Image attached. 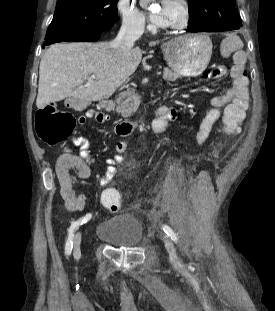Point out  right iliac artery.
I'll list each match as a JSON object with an SVG mask.
<instances>
[{
	"label": "right iliac artery",
	"instance_id": "1",
	"mask_svg": "<svg viewBox=\"0 0 275 311\" xmlns=\"http://www.w3.org/2000/svg\"><path fill=\"white\" fill-rule=\"evenodd\" d=\"M92 215L90 213L86 214L84 217L78 219L77 221L73 222L68 230V238L65 244V254L69 256L71 254L73 248V237L75 230L82 224L86 223L91 219Z\"/></svg>",
	"mask_w": 275,
	"mask_h": 311
}]
</instances>
